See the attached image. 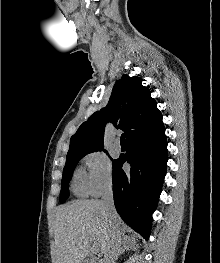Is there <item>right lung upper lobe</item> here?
Returning <instances> with one entry per match:
<instances>
[{"label":"right lung upper lobe","instance_id":"1","mask_svg":"<svg viewBox=\"0 0 220 263\" xmlns=\"http://www.w3.org/2000/svg\"><path fill=\"white\" fill-rule=\"evenodd\" d=\"M141 82L139 77L123 75L115 83L107 106L91 115L71 137L68 154L102 149L107 122L123 130L127 141L137 135L163 129L157 103Z\"/></svg>","mask_w":220,"mask_h":263}]
</instances>
